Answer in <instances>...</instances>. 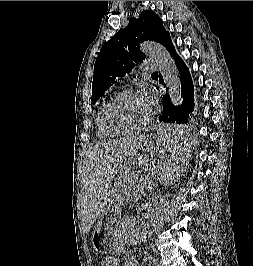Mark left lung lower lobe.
Here are the masks:
<instances>
[{
    "label": "left lung lower lobe",
    "instance_id": "1",
    "mask_svg": "<svg viewBox=\"0 0 253 266\" xmlns=\"http://www.w3.org/2000/svg\"><path fill=\"white\" fill-rule=\"evenodd\" d=\"M164 46L174 57L175 64L179 70L183 102L182 105L174 106L171 103L169 95H164L162 100L163 111L159 117V121L162 123L171 124L174 137L179 138L183 136L184 129L183 127L177 125L187 124L189 113L194 109V89L189 70L182 59L177 55L170 36L165 41ZM159 81L162 84L164 83L161 76L159 77Z\"/></svg>",
    "mask_w": 253,
    "mask_h": 266
}]
</instances>
